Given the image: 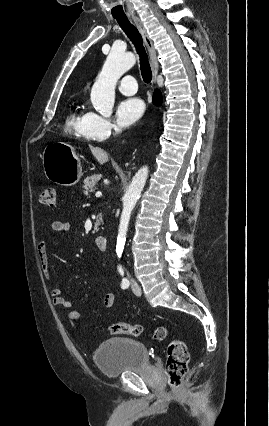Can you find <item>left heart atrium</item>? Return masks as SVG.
I'll return each instance as SVG.
<instances>
[{
	"mask_svg": "<svg viewBox=\"0 0 269 426\" xmlns=\"http://www.w3.org/2000/svg\"><path fill=\"white\" fill-rule=\"evenodd\" d=\"M144 103L139 98L122 100L116 109V121L121 128H126L136 123L144 113Z\"/></svg>",
	"mask_w": 269,
	"mask_h": 426,
	"instance_id": "1",
	"label": "left heart atrium"
}]
</instances>
